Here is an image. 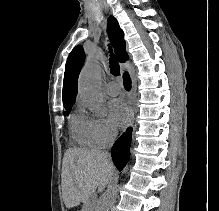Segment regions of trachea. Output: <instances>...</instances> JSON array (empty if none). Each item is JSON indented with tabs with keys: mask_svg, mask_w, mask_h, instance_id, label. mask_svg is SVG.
I'll return each instance as SVG.
<instances>
[{
	"mask_svg": "<svg viewBox=\"0 0 219 211\" xmlns=\"http://www.w3.org/2000/svg\"><path fill=\"white\" fill-rule=\"evenodd\" d=\"M110 51V59H109V63H110V70L112 75L114 76H118L120 75V66L119 63L117 61V59L114 57V55L112 54V50L109 49Z\"/></svg>",
	"mask_w": 219,
	"mask_h": 211,
	"instance_id": "3493384b",
	"label": "trachea"
}]
</instances>
